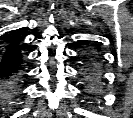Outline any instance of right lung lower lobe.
Segmentation results:
<instances>
[{
    "label": "right lung lower lobe",
    "instance_id": "98d812e1",
    "mask_svg": "<svg viewBox=\"0 0 133 118\" xmlns=\"http://www.w3.org/2000/svg\"><path fill=\"white\" fill-rule=\"evenodd\" d=\"M22 55L16 41L10 43L0 61V79L7 80L21 74Z\"/></svg>",
    "mask_w": 133,
    "mask_h": 118
}]
</instances>
